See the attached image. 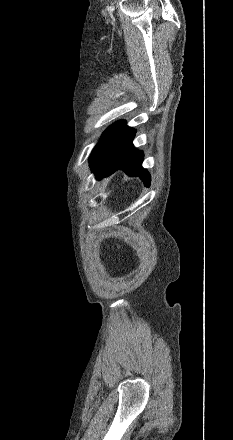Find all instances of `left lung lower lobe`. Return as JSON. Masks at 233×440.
Returning a JSON list of instances; mask_svg holds the SVG:
<instances>
[{
	"label": "left lung lower lobe",
	"mask_w": 233,
	"mask_h": 440,
	"mask_svg": "<svg viewBox=\"0 0 233 440\" xmlns=\"http://www.w3.org/2000/svg\"><path fill=\"white\" fill-rule=\"evenodd\" d=\"M134 136L135 130L124 121L109 126L89 158L92 172L102 178L121 169L129 176L140 177L149 186L150 175L142 167L143 153L132 144Z\"/></svg>",
	"instance_id": "1"
}]
</instances>
